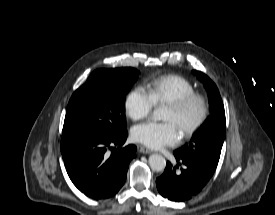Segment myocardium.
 I'll return each instance as SVG.
<instances>
[{
	"label": "myocardium",
	"mask_w": 275,
	"mask_h": 215,
	"mask_svg": "<svg viewBox=\"0 0 275 215\" xmlns=\"http://www.w3.org/2000/svg\"><path fill=\"white\" fill-rule=\"evenodd\" d=\"M194 102H198L200 104V115L191 125L182 131L184 138L193 136L207 121L209 116V104L206 97L200 93L193 92L166 104V106L172 108L173 110L181 112Z\"/></svg>",
	"instance_id": "obj_1"
}]
</instances>
